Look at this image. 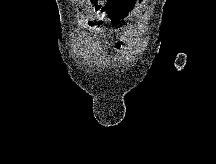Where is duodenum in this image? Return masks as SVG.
I'll return each instance as SVG.
<instances>
[{
	"label": "duodenum",
	"mask_w": 216,
	"mask_h": 164,
	"mask_svg": "<svg viewBox=\"0 0 216 164\" xmlns=\"http://www.w3.org/2000/svg\"><path fill=\"white\" fill-rule=\"evenodd\" d=\"M93 4H97L96 5V9H102V7H106L107 5L104 6V3H98L97 0H92L91 1ZM99 2H104L103 0L99 1Z\"/></svg>",
	"instance_id": "obj_1"
}]
</instances>
